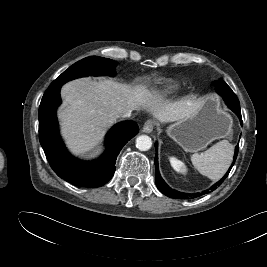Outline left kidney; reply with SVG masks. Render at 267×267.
Masks as SVG:
<instances>
[{
  "label": "left kidney",
  "instance_id": "obj_1",
  "mask_svg": "<svg viewBox=\"0 0 267 267\" xmlns=\"http://www.w3.org/2000/svg\"><path fill=\"white\" fill-rule=\"evenodd\" d=\"M170 163L172 165V167L179 173H182V174H186L187 172V168L186 166L184 165L183 162H181L180 160H177L176 158H170Z\"/></svg>",
  "mask_w": 267,
  "mask_h": 267
}]
</instances>
